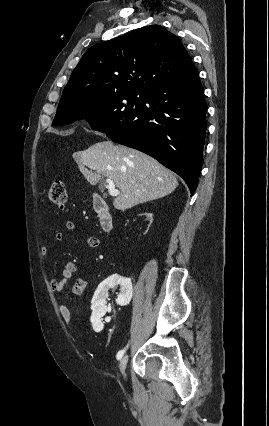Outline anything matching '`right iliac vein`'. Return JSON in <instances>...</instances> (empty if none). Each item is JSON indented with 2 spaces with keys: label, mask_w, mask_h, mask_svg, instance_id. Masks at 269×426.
Returning a JSON list of instances; mask_svg holds the SVG:
<instances>
[{
  "label": "right iliac vein",
  "mask_w": 269,
  "mask_h": 426,
  "mask_svg": "<svg viewBox=\"0 0 269 426\" xmlns=\"http://www.w3.org/2000/svg\"><path fill=\"white\" fill-rule=\"evenodd\" d=\"M127 362H128V356L125 355V356H123L121 358L120 364H119L120 371H121V373H122V375H123L124 378H126V366H127Z\"/></svg>",
  "instance_id": "obj_1"
}]
</instances>
